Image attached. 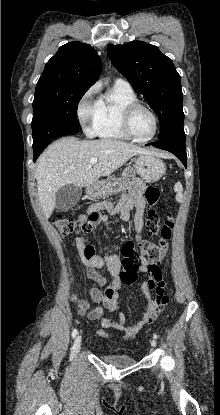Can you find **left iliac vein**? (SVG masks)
<instances>
[{"mask_svg": "<svg viewBox=\"0 0 220 415\" xmlns=\"http://www.w3.org/2000/svg\"><path fill=\"white\" fill-rule=\"evenodd\" d=\"M151 345H152V347H155V346H156V340H155V339H153V340L151 341Z\"/></svg>", "mask_w": 220, "mask_h": 415, "instance_id": "4c4485c4", "label": "left iliac vein"}]
</instances>
